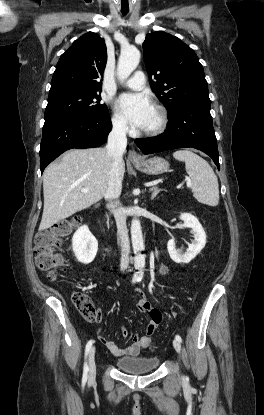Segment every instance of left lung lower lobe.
I'll return each instance as SVG.
<instances>
[{"instance_id":"0a47b994","label":"left lung lower lobe","mask_w":264,"mask_h":415,"mask_svg":"<svg viewBox=\"0 0 264 415\" xmlns=\"http://www.w3.org/2000/svg\"><path fill=\"white\" fill-rule=\"evenodd\" d=\"M144 154L192 147L209 155L219 169V154L210 103H189L172 115L166 131L156 137L136 139Z\"/></svg>"}]
</instances>
